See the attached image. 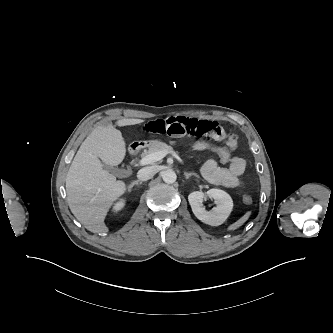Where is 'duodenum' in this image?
Masks as SVG:
<instances>
[{"instance_id":"duodenum-1","label":"duodenum","mask_w":333,"mask_h":333,"mask_svg":"<svg viewBox=\"0 0 333 333\" xmlns=\"http://www.w3.org/2000/svg\"><path fill=\"white\" fill-rule=\"evenodd\" d=\"M138 149H139V145H133L130 147L129 152H130V154L133 155L138 151Z\"/></svg>"}]
</instances>
